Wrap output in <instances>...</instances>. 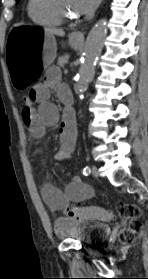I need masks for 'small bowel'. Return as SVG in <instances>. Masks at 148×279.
Listing matches in <instances>:
<instances>
[{
    "instance_id": "obj_1",
    "label": "small bowel",
    "mask_w": 148,
    "mask_h": 279,
    "mask_svg": "<svg viewBox=\"0 0 148 279\" xmlns=\"http://www.w3.org/2000/svg\"><path fill=\"white\" fill-rule=\"evenodd\" d=\"M61 73L56 67L50 68L42 83L36 84L29 91L33 102L38 107L24 105L22 109L23 121L34 138L40 139L47 128L56 126L60 122L61 145L55 154L56 160H71L75 138V121L73 111L65 107L60 114L59 108L50 102L51 89L56 91L57 97L64 103L70 100L69 89L60 84ZM42 197L52 210H62L70 202L88 199L92 195L91 188L79 177H72L64 190H59L51 184L43 185Z\"/></svg>"
}]
</instances>
